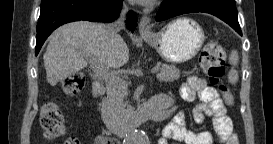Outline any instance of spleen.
Returning <instances> with one entry per match:
<instances>
[{
  "label": "spleen",
  "mask_w": 273,
  "mask_h": 144,
  "mask_svg": "<svg viewBox=\"0 0 273 144\" xmlns=\"http://www.w3.org/2000/svg\"><path fill=\"white\" fill-rule=\"evenodd\" d=\"M239 62L238 52L236 50H232L229 55V63L233 66H236ZM228 81L231 84H235L238 81V72L232 68L228 73Z\"/></svg>",
  "instance_id": "3e777b00"
}]
</instances>
